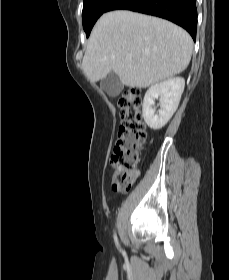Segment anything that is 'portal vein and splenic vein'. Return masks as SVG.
I'll use <instances>...</instances> for the list:
<instances>
[{
  "instance_id": "portal-vein-and-splenic-vein-1",
  "label": "portal vein and splenic vein",
  "mask_w": 229,
  "mask_h": 280,
  "mask_svg": "<svg viewBox=\"0 0 229 280\" xmlns=\"http://www.w3.org/2000/svg\"><path fill=\"white\" fill-rule=\"evenodd\" d=\"M131 58H132V57L129 55V56H128V59H131Z\"/></svg>"
}]
</instances>
